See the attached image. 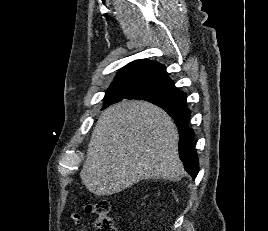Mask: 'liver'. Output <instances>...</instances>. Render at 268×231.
<instances>
[{
	"mask_svg": "<svg viewBox=\"0 0 268 231\" xmlns=\"http://www.w3.org/2000/svg\"><path fill=\"white\" fill-rule=\"evenodd\" d=\"M179 135L171 117L147 101H122L100 115L80 177L86 189L112 195L150 178L180 180Z\"/></svg>",
	"mask_w": 268,
	"mask_h": 231,
	"instance_id": "6515ba94",
	"label": "liver"
}]
</instances>
